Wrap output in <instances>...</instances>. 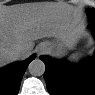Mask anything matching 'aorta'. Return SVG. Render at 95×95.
<instances>
[{"label":"aorta","mask_w":95,"mask_h":95,"mask_svg":"<svg viewBox=\"0 0 95 95\" xmlns=\"http://www.w3.org/2000/svg\"><path fill=\"white\" fill-rule=\"evenodd\" d=\"M28 69L31 75L41 76L45 72V64L42 60L35 59L29 64Z\"/></svg>","instance_id":"obj_1"}]
</instances>
